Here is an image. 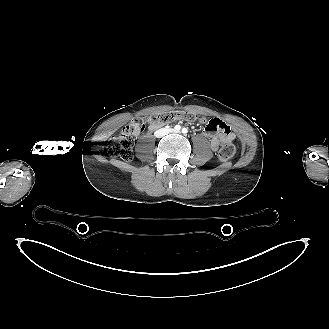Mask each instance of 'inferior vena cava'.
Listing matches in <instances>:
<instances>
[{"mask_svg":"<svg viewBox=\"0 0 329 329\" xmlns=\"http://www.w3.org/2000/svg\"><path fill=\"white\" fill-rule=\"evenodd\" d=\"M163 136V134L162 133H159L158 135H157V137H162Z\"/></svg>","mask_w":329,"mask_h":329,"instance_id":"602c4592","label":"inferior vena cava"}]
</instances>
